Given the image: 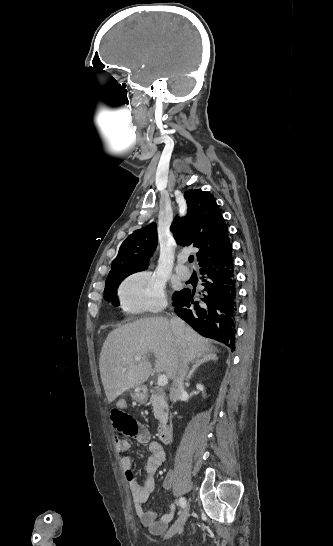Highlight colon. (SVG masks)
<instances>
[{"label": "colon", "instance_id": "colon-1", "mask_svg": "<svg viewBox=\"0 0 333 546\" xmlns=\"http://www.w3.org/2000/svg\"><path fill=\"white\" fill-rule=\"evenodd\" d=\"M110 411H111V419H112L115 433L125 435V436H131L135 432L136 428L128 420L125 414L121 412L120 406L117 404H114L111 406Z\"/></svg>", "mask_w": 333, "mask_h": 546}]
</instances>
